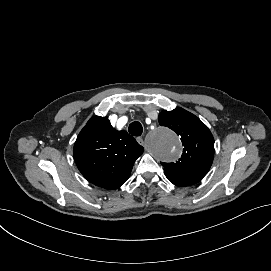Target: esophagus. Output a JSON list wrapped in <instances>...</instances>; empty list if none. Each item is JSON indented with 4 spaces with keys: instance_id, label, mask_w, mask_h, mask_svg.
Segmentation results:
<instances>
[{
    "instance_id": "esophagus-1",
    "label": "esophagus",
    "mask_w": 271,
    "mask_h": 271,
    "mask_svg": "<svg viewBox=\"0 0 271 271\" xmlns=\"http://www.w3.org/2000/svg\"><path fill=\"white\" fill-rule=\"evenodd\" d=\"M136 140L140 145L144 144V141H143V139L141 137H137Z\"/></svg>"
}]
</instances>
